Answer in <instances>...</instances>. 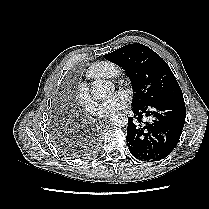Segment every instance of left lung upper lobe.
Returning a JSON list of instances; mask_svg holds the SVG:
<instances>
[{
  "label": "left lung upper lobe",
  "instance_id": "obj_1",
  "mask_svg": "<svg viewBox=\"0 0 209 209\" xmlns=\"http://www.w3.org/2000/svg\"><path fill=\"white\" fill-rule=\"evenodd\" d=\"M104 57L122 67L135 92L134 107L183 97L181 88L167 63L142 44H128Z\"/></svg>",
  "mask_w": 209,
  "mask_h": 209
}]
</instances>
